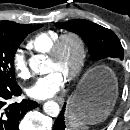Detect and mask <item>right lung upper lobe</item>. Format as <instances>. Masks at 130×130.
<instances>
[{"mask_svg": "<svg viewBox=\"0 0 130 130\" xmlns=\"http://www.w3.org/2000/svg\"><path fill=\"white\" fill-rule=\"evenodd\" d=\"M24 24H18L12 21H0V30H17Z\"/></svg>", "mask_w": 130, "mask_h": 130, "instance_id": "cb5924a9", "label": "right lung upper lobe"}]
</instances>
